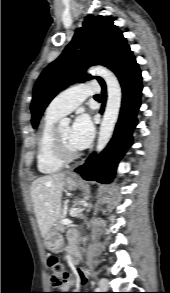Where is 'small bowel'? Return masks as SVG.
<instances>
[{"mask_svg":"<svg viewBox=\"0 0 170 293\" xmlns=\"http://www.w3.org/2000/svg\"><path fill=\"white\" fill-rule=\"evenodd\" d=\"M70 240L73 241L74 240V235L73 233L70 234ZM76 275L78 278V283L80 285H84L85 284V279H86V274L84 273V271L80 268L76 269Z\"/></svg>","mask_w":170,"mask_h":293,"instance_id":"obj_1","label":"small bowel"}]
</instances>
